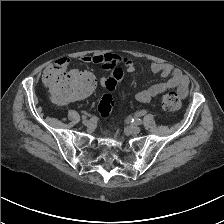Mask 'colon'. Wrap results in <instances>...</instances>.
Masks as SVG:
<instances>
[{
  "mask_svg": "<svg viewBox=\"0 0 224 224\" xmlns=\"http://www.w3.org/2000/svg\"><path fill=\"white\" fill-rule=\"evenodd\" d=\"M122 77L123 72L120 69H115L103 82L106 92L99 101L98 112L104 119L110 116L114 105L111 93ZM46 82L54 97L63 101H76L84 98L90 95L96 86L94 76L88 72L51 73L46 77ZM160 102L162 108L167 111H177L181 107L180 96L174 92L164 94Z\"/></svg>",
  "mask_w": 224,
  "mask_h": 224,
  "instance_id": "5ec220e1",
  "label": "colon"
}]
</instances>
